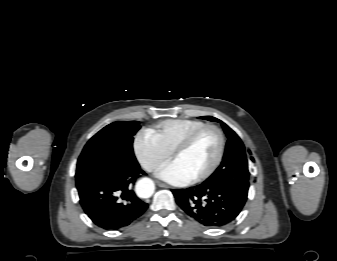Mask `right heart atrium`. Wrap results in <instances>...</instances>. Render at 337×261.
<instances>
[{
    "instance_id": "d8ad5b80",
    "label": "right heart atrium",
    "mask_w": 337,
    "mask_h": 261,
    "mask_svg": "<svg viewBox=\"0 0 337 261\" xmlns=\"http://www.w3.org/2000/svg\"><path fill=\"white\" fill-rule=\"evenodd\" d=\"M134 151L140 164L149 172L156 171L171 155L148 130L138 133L134 141Z\"/></svg>"
}]
</instances>
